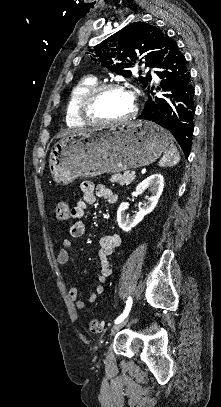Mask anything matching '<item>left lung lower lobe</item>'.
I'll return each mask as SVG.
<instances>
[{
  "label": "left lung lower lobe",
  "mask_w": 221,
  "mask_h": 407,
  "mask_svg": "<svg viewBox=\"0 0 221 407\" xmlns=\"http://www.w3.org/2000/svg\"><path fill=\"white\" fill-rule=\"evenodd\" d=\"M155 73L161 79L163 98L155 96L154 87L148 90L138 119L152 121L169 130L188 157L194 131L195 92L185 56L175 42L169 45L168 53Z\"/></svg>",
  "instance_id": "0a47b994"
}]
</instances>
